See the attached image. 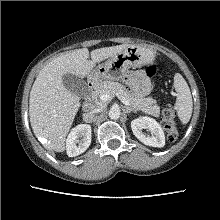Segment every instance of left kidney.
<instances>
[{"mask_svg":"<svg viewBox=\"0 0 220 220\" xmlns=\"http://www.w3.org/2000/svg\"><path fill=\"white\" fill-rule=\"evenodd\" d=\"M131 128L135 137L143 144L159 148L165 145L164 132L155 119L147 116L139 117L132 120ZM142 129H148L152 133V136H145Z\"/></svg>","mask_w":220,"mask_h":220,"instance_id":"obj_1","label":"left kidney"}]
</instances>
